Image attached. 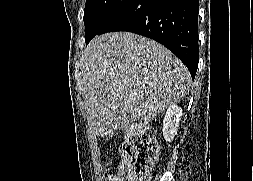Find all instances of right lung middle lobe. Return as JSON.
<instances>
[{
  "label": "right lung middle lobe",
  "mask_w": 253,
  "mask_h": 181,
  "mask_svg": "<svg viewBox=\"0 0 253 181\" xmlns=\"http://www.w3.org/2000/svg\"><path fill=\"white\" fill-rule=\"evenodd\" d=\"M129 0H86L85 35L101 30Z\"/></svg>",
  "instance_id": "dd1d6c3e"
}]
</instances>
